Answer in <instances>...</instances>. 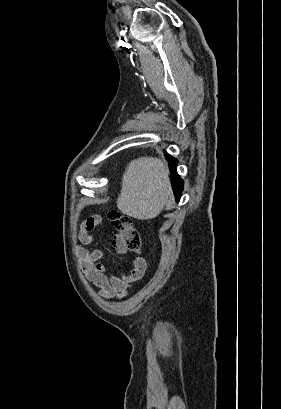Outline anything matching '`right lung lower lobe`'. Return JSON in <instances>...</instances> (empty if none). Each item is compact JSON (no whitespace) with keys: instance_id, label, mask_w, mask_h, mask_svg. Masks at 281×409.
Returning <instances> with one entry per match:
<instances>
[{"instance_id":"1","label":"right lung lower lobe","mask_w":281,"mask_h":409,"mask_svg":"<svg viewBox=\"0 0 281 409\" xmlns=\"http://www.w3.org/2000/svg\"><path fill=\"white\" fill-rule=\"evenodd\" d=\"M169 165H170V171H171V176L173 180V190L174 194L176 196V200L179 201L181 197V192L183 190V181L179 177V175L176 173L175 166L177 164V160H175L172 157H169Z\"/></svg>"}]
</instances>
